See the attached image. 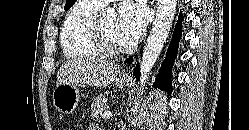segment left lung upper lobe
<instances>
[{"label":"left lung upper lobe","instance_id":"5c2ea615","mask_svg":"<svg viewBox=\"0 0 249 130\" xmlns=\"http://www.w3.org/2000/svg\"><path fill=\"white\" fill-rule=\"evenodd\" d=\"M76 0H66L65 4V10H68L71 8V6L75 3Z\"/></svg>","mask_w":249,"mask_h":130}]
</instances>
